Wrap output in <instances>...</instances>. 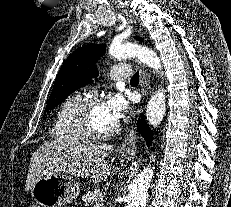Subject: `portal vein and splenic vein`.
Instances as JSON below:
<instances>
[{
	"label": "portal vein and splenic vein",
	"instance_id": "1",
	"mask_svg": "<svg viewBox=\"0 0 231 207\" xmlns=\"http://www.w3.org/2000/svg\"><path fill=\"white\" fill-rule=\"evenodd\" d=\"M95 207H102V204L97 202V203L95 204Z\"/></svg>",
	"mask_w": 231,
	"mask_h": 207
}]
</instances>
